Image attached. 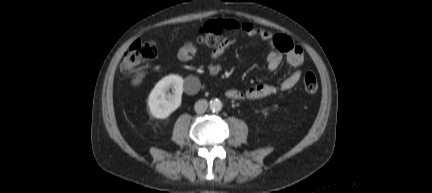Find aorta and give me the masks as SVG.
Masks as SVG:
<instances>
[{
    "mask_svg": "<svg viewBox=\"0 0 432 193\" xmlns=\"http://www.w3.org/2000/svg\"><path fill=\"white\" fill-rule=\"evenodd\" d=\"M209 105L213 112H219L222 109V102L219 99L211 100Z\"/></svg>",
    "mask_w": 432,
    "mask_h": 193,
    "instance_id": "obj_1",
    "label": "aorta"
}]
</instances>
